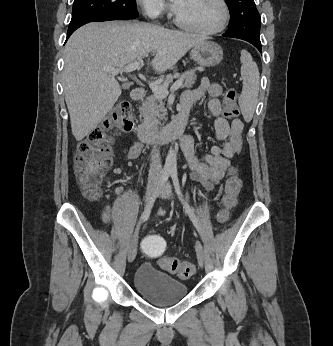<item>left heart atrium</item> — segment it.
I'll list each match as a JSON object with an SVG mask.
<instances>
[{
	"mask_svg": "<svg viewBox=\"0 0 333 346\" xmlns=\"http://www.w3.org/2000/svg\"><path fill=\"white\" fill-rule=\"evenodd\" d=\"M173 3V7L176 9L178 7L179 1L180 0H171Z\"/></svg>",
	"mask_w": 333,
	"mask_h": 346,
	"instance_id": "left-heart-atrium-1",
	"label": "left heart atrium"
}]
</instances>
